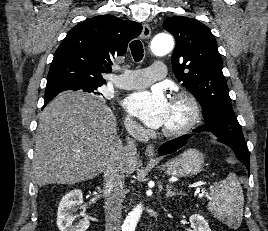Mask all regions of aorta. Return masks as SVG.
<instances>
[{
	"label": "aorta",
	"mask_w": 268,
	"mask_h": 231,
	"mask_svg": "<svg viewBox=\"0 0 268 231\" xmlns=\"http://www.w3.org/2000/svg\"><path fill=\"white\" fill-rule=\"evenodd\" d=\"M173 46L174 42L172 36L159 34L152 40L151 51L155 56H164L173 49ZM142 210V205L139 204L129 212L123 222L122 231H135L136 225L142 215Z\"/></svg>",
	"instance_id": "obj_1"
}]
</instances>
